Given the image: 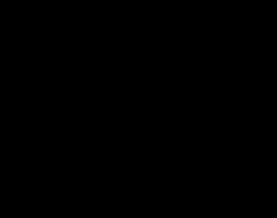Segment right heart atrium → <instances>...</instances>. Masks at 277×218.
Wrapping results in <instances>:
<instances>
[{"mask_svg":"<svg viewBox=\"0 0 277 218\" xmlns=\"http://www.w3.org/2000/svg\"><path fill=\"white\" fill-rule=\"evenodd\" d=\"M106 96L110 100H115L117 97V87L114 84H109L106 88Z\"/></svg>","mask_w":277,"mask_h":218,"instance_id":"right-heart-atrium-1","label":"right heart atrium"}]
</instances>
